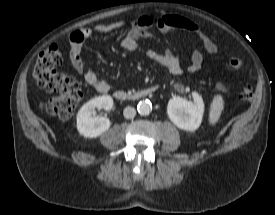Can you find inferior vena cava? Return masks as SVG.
<instances>
[{
	"mask_svg": "<svg viewBox=\"0 0 275 215\" xmlns=\"http://www.w3.org/2000/svg\"><path fill=\"white\" fill-rule=\"evenodd\" d=\"M123 115L127 119L134 118L136 115V110H135V108L128 106L124 109Z\"/></svg>",
	"mask_w": 275,
	"mask_h": 215,
	"instance_id": "inferior-vena-cava-1",
	"label": "inferior vena cava"
}]
</instances>
